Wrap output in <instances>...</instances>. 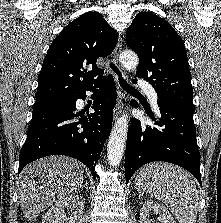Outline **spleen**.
<instances>
[{"label":"spleen","instance_id":"spleen-1","mask_svg":"<svg viewBox=\"0 0 221 223\" xmlns=\"http://www.w3.org/2000/svg\"><path fill=\"white\" fill-rule=\"evenodd\" d=\"M141 194L163 202L179 223H196L198 192L188 172L169 163H151L141 168L135 180Z\"/></svg>","mask_w":221,"mask_h":223}]
</instances>
